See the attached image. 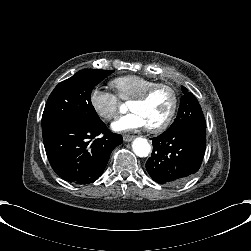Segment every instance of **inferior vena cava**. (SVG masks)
<instances>
[{
    "instance_id": "inferior-vena-cava-1",
    "label": "inferior vena cava",
    "mask_w": 251,
    "mask_h": 251,
    "mask_svg": "<svg viewBox=\"0 0 251 251\" xmlns=\"http://www.w3.org/2000/svg\"><path fill=\"white\" fill-rule=\"evenodd\" d=\"M113 117H114V118H118L119 116L114 115Z\"/></svg>"
}]
</instances>
